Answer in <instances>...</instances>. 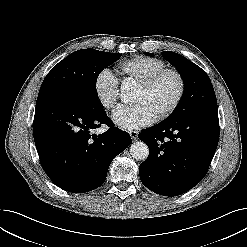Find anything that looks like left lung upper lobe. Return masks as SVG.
<instances>
[{
    "mask_svg": "<svg viewBox=\"0 0 247 247\" xmlns=\"http://www.w3.org/2000/svg\"><path fill=\"white\" fill-rule=\"evenodd\" d=\"M146 55L153 54L146 52ZM163 57L176 67L184 81L182 99L166 120L201 111H217V100L206 72L178 53L164 51Z\"/></svg>",
    "mask_w": 247,
    "mask_h": 247,
    "instance_id": "5c2ea615",
    "label": "left lung upper lobe"
}]
</instances>
